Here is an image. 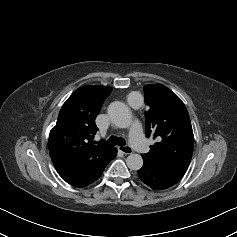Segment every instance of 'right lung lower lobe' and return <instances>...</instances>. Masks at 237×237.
<instances>
[{
	"instance_id": "right-lung-lower-lobe-1",
	"label": "right lung lower lobe",
	"mask_w": 237,
	"mask_h": 237,
	"mask_svg": "<svg viewBox=\"0 0 237 237\" xmlns=\"http://www.w3.org/2000/svg\"><path fill=\"white\" fill-rule=\"evenodd\" d=\"M117 150L99 162L82 165L60 155L51 156L52 162L60 176L70 185L83 188L96 181L106 165L116 157Z\"/></svg>"
}]
</instances>
